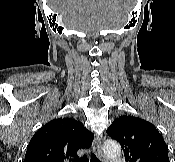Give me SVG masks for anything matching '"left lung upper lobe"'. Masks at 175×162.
<instances>
[{"label": "left lung upper lobe", "mask_w": 175, "mask_h": 162, "mask_svg": "<svg viewBox=\"0 0 175 162\" xmlns=\"http://www.w3.org/2000/svg\"><path fill=\"white\" fill-rule=\"evenodd\" d=\"M107 134L121 144L127 162H169L168 146L146 120L121 116L114 120Z\"/></svg>", "instance_id": "1"}]
</instances>
